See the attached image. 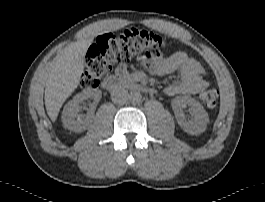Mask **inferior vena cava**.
Instances as JSON below:
<instances>
[{
    "instance_id": "1",
    "label": "inferior vena cava",
    "mask_w": 265,
    "mask_h": 202,
    "mask_svg": "<svg viewBox=\"0 0 265 202\" xmlns=\"http://www.w3.org/2000/svg\"><path fill=\"white\" fill-rule=\"evenodd\" d=\"M129 98V93L127 89H125L122 86L116 87L112 92H111V99L115 104H125L128 101Z\"/></svg>"
}]
</instances>
